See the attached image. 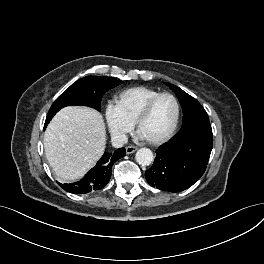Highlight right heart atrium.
Returning <instances> with one entry per match:
<instances>
[{
    "instance_id": "obj_1",
    "label": "right heart atrium",
    "mask_w": 264,
    "mask_h": 264,
    "mask_svg": "<svg viewBox=\"0 0 264 264\" xmlns=\"http://www.w3.org/2000/svg\"><path fill=\"white\" fill-rule=\"evenodd\" d=\"M105 120L112 137L116 140H123L131 132L133 123L123 116L117 106L108 103L105 107Z\"/></svg>"
}]
</instances>
